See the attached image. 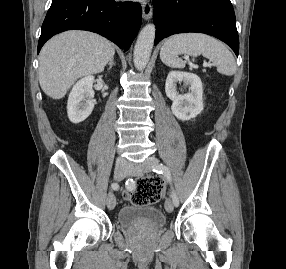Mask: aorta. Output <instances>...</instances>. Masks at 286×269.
Returning <instances> with one entry per match:
<instances>
[{"instance_id":"aorta-1","label":"aorta","mask_w":286,"mask_h":269,"mask_svg":"<svg viewBox=\"0 0 286 269\" xmlns=\"http://www.w3.org/2000/svg\"><path fill=\"white\" fill-rule=\"evenodd\" d=\"M155 38V26L146 25L139 33L134 47V65L136 69L143 70L150 58Z\"/></svg>"}]
</instances>
